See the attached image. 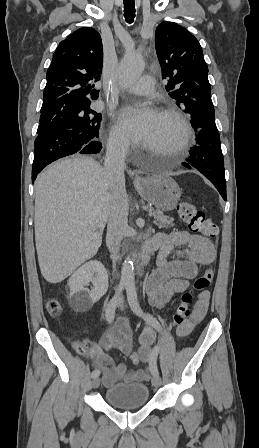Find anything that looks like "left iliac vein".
Returning <instances> with one entry per match:
<instances>
[{
  "mask_svg": "<svg viewBox=\"0 0 259 448\" xmlns=\"http://www.w3.org/2000/svg\"><path fill=\"white\" fill-rule=\"evenodd\" d=\"M120 307L123 308V306H122V301H120ZM152 384H153L155 387H159V386L161 385V378H160L159 375H154V376H153V378H152Z\"/></svg>",
  "mask_w": 259,
  "mask_h": 448,
  "instance_id": "1",
  "label": "left iliac vein"
}]
</instances>
